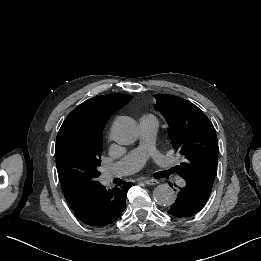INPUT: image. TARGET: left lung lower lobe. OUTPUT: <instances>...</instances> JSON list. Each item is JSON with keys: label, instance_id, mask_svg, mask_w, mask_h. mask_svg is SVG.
<instances>
[{"label": "left lung lower lobe", "instance_id": "left-lung-lower-lobe-1", "mask_svg": "<svg viewBox=\"0 0 261 261\" xmlns=\"http://www.w3.org/2000/svg\"><path fill=\"white\" fill-rule=\"evenodd\" d=\"M185 185L178 191L177 199L168 214L182 218L198 213L207 202L212 186L193 176H182ZM176 186V185H175Z\"/></svg>", "mask_w": 261, "mask_h": 261}]
</instances>
